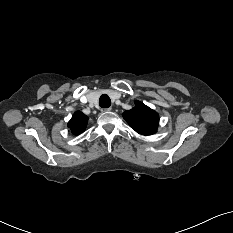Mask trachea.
Instances as JSON below:
<instances>
[{
  "instance_id": "obj_1",
  "label": "trachea",
  "mask_w": 233,
  "mask_h": 233,
  "mask_svg": "<svg viewBox=\"0 0 233 233\" xmlns=\"http://www.w3.org/2000/svg\"><path fill=\"white\" fill-rule=\"evenodd\" d=\"M99 105H100L102 108H108V107H110V105H111V100H110L109 96L106 95V94L101 95V97H100V99H99Z\"/></svg>"
}]
</instances>
